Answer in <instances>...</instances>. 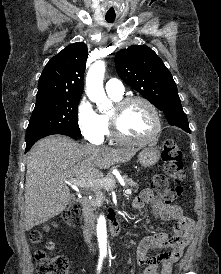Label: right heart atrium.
<instances>
[{"mask_svg": "<svg viewBox=\"0 0 221 274\" xmlns=\"http://www.w3.org/2000/svg\"><path fill=\"white\" fill-rule=\"evenodd\" d=\"M77 122L84 138L91 143H100L105 135V124L101 115L86 97L77 106Z\"/></svg>", "mask_w": 221, "mask_h": 274, "instance_id": "1", "label": "right heart atrium"}]
</instances>
